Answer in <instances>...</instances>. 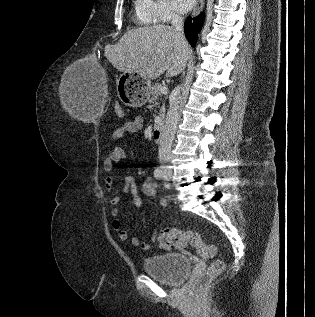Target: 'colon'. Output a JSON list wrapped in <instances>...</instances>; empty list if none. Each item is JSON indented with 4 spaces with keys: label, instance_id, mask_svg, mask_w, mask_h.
I'll return each mask as SVG.
<instances>
[{
    "label": "colon",
    "instance_id": "1",
    "mask_svg": "<svg viewBox=\"0 0 315 317\" xmlns=\"http://www.w3.org/2000/svg\"><path fill=\"white\" fill-rule=\"evenodd\" d=\"M116 113L123 116L124 112L121 106L116 107ZM158 242L161 248L170 249L172 246H180L184 243H190L202 257H213L216 252V246L206 244L200 233L195 230H180L177 228H166L159 232ZM225 263L221 258H217L211 262L208 268L201 273L192 283L189 289V296L196 298L200 291L210 284V282L223 272Z\"/></svg>",
    "mask_w": 315,
    "mask_h": 317
}]
</instances>
